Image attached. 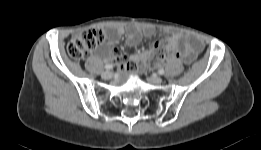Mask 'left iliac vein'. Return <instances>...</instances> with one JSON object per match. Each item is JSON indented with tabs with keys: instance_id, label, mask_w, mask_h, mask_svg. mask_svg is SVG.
<instances>
[{
	"instance_id": "left-iliac-vein-1",
	"label": "left iliac vein",
	"mask_w": 261,
	"mask_h": 150,
	"mask_svg": "<svg viewBox=\"0 0 261 150\" xmlns=\"http://www.w3.org/2000/svg\"><path fill=\"white\" fill-rule=\"evenodd\" d=\"M149 81L153 84H161L162 83V78L159 76H151L149 78Z\"/></svg>"
}]
</instances>
